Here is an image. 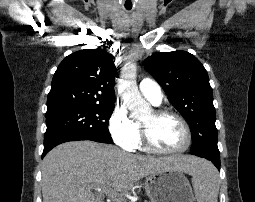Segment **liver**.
<instances>
[{"instance_id": "liver-1", "label": "liver", "mask_w": 255, "mask_h": 202, "mask_svg": "<svg viewBox=\"0 0 255 202\" xmlns=\"http://www.w3.org/2000/svg\"><path fill=\"white\" fill-rule=\"evenodd\" d=\"M202 162L189 155H133L93 141L63 143L43 159V202H101L93 187L109 183L113 191L126 192L134 182L156 172L174 169L192 175Z\"/></svg>"}]
</instances>
